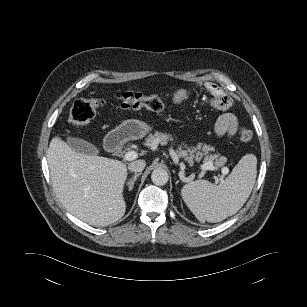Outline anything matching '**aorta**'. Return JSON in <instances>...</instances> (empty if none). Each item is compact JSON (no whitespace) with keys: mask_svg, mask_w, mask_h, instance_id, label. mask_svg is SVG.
<instances>
[{"mask_svg":"<svg viewBox=\"0 0 307 307\" xmlns=\"http://www.w3.org/2000/svg\"><path fill=\"white\" fill-rule=\"evenodd\" d=\"M168 179V172L164 168H156L151 174V180L155 185L163 186L168 182Z\"/></svg>","mask_w":307,"mask_h":307,"instance_id":"obj_1","label":"aorta"}]
</instances>
